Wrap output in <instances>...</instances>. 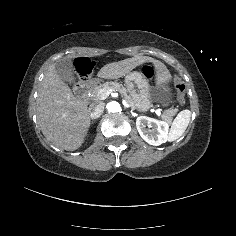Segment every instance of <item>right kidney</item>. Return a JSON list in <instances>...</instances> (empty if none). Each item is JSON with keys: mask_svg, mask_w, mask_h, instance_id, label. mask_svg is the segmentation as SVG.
Masks as SVG:
<instances>
[{"mask_svg": "<svg viewBox=\"0 0 236 236\" xmlns=\"http://www.w3.org/2000/svg\"><path fill=\"white\" fill-rule=\"evenodd\" d=\"M86 137H87V135L85 134V135H84V138H86Z\"/></svg>", "mask_w": 236, "mask_h": 236, "instance_id": "right-kidney-1", "label": "right kidney"}]
</instances>
